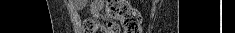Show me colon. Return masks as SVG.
Listing matches in <instances>:
<instances>
[{"mask_svg": "<svg viewBox=\"0 0 235 33\" xmlns=\"http://www.w3.org/2000/svg\"><path fill=\"white\" fill-rule=\"evenodd\" d=\"M105 22L87 19L84 22L86 33H118L119 22L124 33H142L141 16L124 0H108L105 8Z\"/></svg>", "mask_w": 235, "mask_h": 33, "instance_id": "5ec220e1", "label": "colon"}]
</instances>
